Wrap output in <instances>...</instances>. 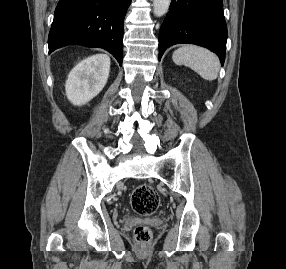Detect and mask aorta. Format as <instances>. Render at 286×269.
Here are the masks:
<instances>
[{"label":"aorta","mask_w":286,"mask_h":269,"mask_svg":"<svg viewBox=\"0 0 286 269\" xmlns=\"http://www.w3.org/2000/svg\"><path fill=\"white\" fill-rule=\"evenodd\" d=\"M171 0H153V13L160 17L167 13Z\"/></svg>","instance_id":"obj_1"}]
</instances>
